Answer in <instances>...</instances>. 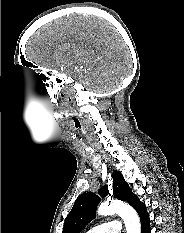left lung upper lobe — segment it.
Returning <instances> with one entry per match:
<instances>
[{"label":"left lung upper lobe","instance_id":"obj_1","mask_svg":"<svg viewBox=\"0 0 184 233\" xmlns=\"http://www.w3.org/2000/svg\"><path fill=\"white\" fill-rule=\"evenodd\" d=\"M112 177L113 196L133 205L138 200V197L132 193L122 174L114 170ZM98 193L102 197L110 195L108 186H103ZM99 203L100 198L95 193L87 192L79 195L65 219L62 233H81L85 226L95 218V211Z\"/></svg>","mask_w":184,"mask_h":233}]
</instances>
